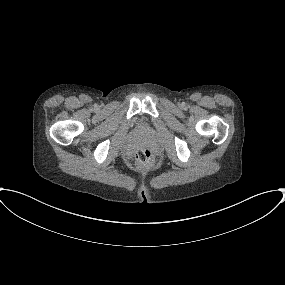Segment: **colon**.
I'll use <instances>...</instances> for the list:
<instances>
[{
  "label": "colon",
  "mask_w": 285,
  "mask_h": 285,
  "mask_svg": "<svg viewBox=\"0 0 285 285\" xmlns=\"http://www.w3.org/2000/svg\"><path fill=\"white\" fill-rule=\"evenodd\" d=\"M135 166L150 169L156 165V158L152 149L147 145H140L135 150Z\"/></svg>",
  "instance_id": "obj_1"
}]
</instances>
